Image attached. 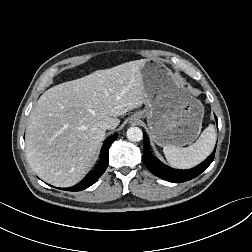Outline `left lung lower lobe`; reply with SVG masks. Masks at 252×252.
<instances>
[{"label":"left lung lower lobe","mask_w":252,"mask_h":252,"mask_svg":"<svg viewBox=\"0 0 252 252\" xmlns=\"http://www.w3.org/2000/svg\"><path fill=\"white\" fill-rule=\"evenodd\" d=\"M217 121V118L215 116ZM149 140L146 134H144V153L143 161L146 167L156 176L163 178L169 182L181 183L191 180L198 175H200L207 167L212 163L215 155V150L213 153L198 166L189 170H178L170 168L169 166L161 163L155 156H153L149 151Z\"/></svg>","instance_id":"1"}]
</instances>
